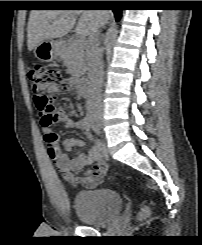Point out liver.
Returning a JSON list of instances; mask_svg holds the SVG:
<instances>
[{"mask_svg": "<svg viewBox=\"0 0 202 245\" xmlns=\"http://www.w3.org/2000/svg\"><path fill=\"white\" fill-rule=\"evenodd\" d=\"M78 16L75 32L90 36L109 20L110 13L93 10H32L27 26L28 50H33L45 39L65 36L75 26Z\"/></svg>", "mask_w": 202, "mask_h": 245, "instance_id": "liver-1", "label": "liver"}]
</instances>
